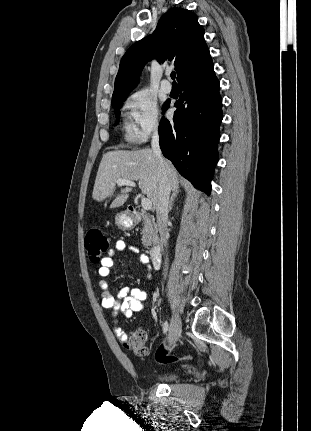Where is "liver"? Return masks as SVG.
I'll list each match as a JSON object with an SVG mask.
<instances>
[{
  "label": "liver",
  "mask_w": 311,
  "mask_h": 431,
  "mask_svg": "<svg viewBox=\"0 0 311 431\" xmlns=\"http://www.w3.org/2000/svg\"><path fill=\"white\" fill-rule=\"evenodd\" d=\"M165 170L170 190L179 194V176L173 164L164 158ZM116 180H130L138 182L139 188L151 200L153 210L157 206V194L159 186V164L152 150H114L104 154L98 168L92 200L104 202L107 198H114L109 208L124 206L129 198L132 188L126 186L119 194H115Z\"/></svg>",
  "instance_id": "obj_1"
}]
</instances>
